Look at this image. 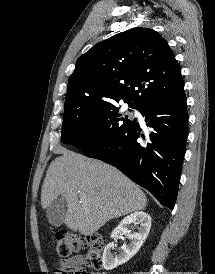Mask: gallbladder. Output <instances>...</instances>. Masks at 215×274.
<instances>
[{
	"label": "gallbladder",
	"instance_id": "1",
	"mask_svg": "<svg viewBox=\"0 0 215 274\" xmlns=\"http://www.w3.org/2000/svg\"><path fill=\"white\" fill-rule=\"evenodd\" d=\"M66 204L63 199L57 198L46 209V217L49 223L55 227L62 225L66 215Z\"/></svg>",
	"mask_w": 215,
	"mask_h": 274
}]
</instances>
